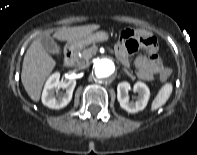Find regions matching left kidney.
Segmentation results:
<instances>
[{"label":"left kidney","mask_w":197,"mask_h":155,"mask_svg":"<svg viewBox=\"0 0 197 155\" xmlns=\"http://www.w3.org/2000/svg\"><path fill=\"white\" fill-rule=\"evenodd\" d=\"M130 89L131 86L128 82L119 83L117 86V99L123 109L130 113H136L146 107L150 98V90L145 83L136 82L133 90L138 93V100L129 102L128 91Z\"/></svg>","instance_id":"1"}]
</instances>
